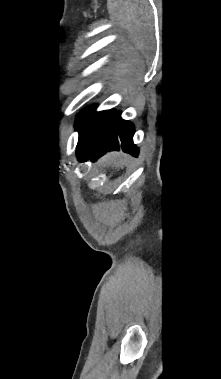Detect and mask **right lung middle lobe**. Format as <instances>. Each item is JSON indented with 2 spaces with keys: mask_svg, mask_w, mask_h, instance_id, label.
Returning <instances> with one entry per match:
<instances>
[{
  "mask_svg": "<svg viewBox=\"0 0 221 379\" xmlns=\"http://www.w3.org/2000/svg\"><path fill=\"white\" fill-rule=\"evenodd\" d=\"M115 115V110L96 113L93 107L82 112L76 122V128L80 133L78 143H95Z\"/></svg>",
  "mask_w": 221,
  "mask_h": 379,
  "instance_id": "right-lung-middle-lobe-1",
  "label": "right lung middle lobe"
}]
</instances>
